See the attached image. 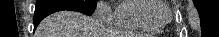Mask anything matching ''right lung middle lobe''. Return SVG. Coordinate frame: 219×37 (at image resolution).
<instances>
[{
	"mask_svg": "<svg viewBox=\"0 0 219 37\" xmlns=\"http://www.w3.org/2000/svg\"><path fill=\"white\" fill-rule=\"evenodd\" d=\"M97 0H68V1H56V0H37L36 2V8L43 7L46 5H50L53 3H58V2H64V3H70L73 5H76L80 7L81 9L93 13L94 12V7L96 4Z\"/></svg>",
	"mask_w": 219,
	"mask_h": 37,
	"instance_id": "dd1d6c3e",
	"label": "right lung middle lobe"
}]
</instances>
